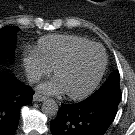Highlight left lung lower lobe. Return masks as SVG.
<instances>
[{"instance_id":"1","label":"left lung lower lobe","mask_w":135,"mask_h":135,"mask_svg":"<svg viewBox=\"0 0 135 135\" xmlns=\"http://www.w3.org/2000/svg\"><path fill=\"white\" fill-rule=\"evenodd\" d=\"M121 100L120 89L96 91L86 100L62 104L50 122L53 135H104Z\"/></svg>"}]
</instances>
